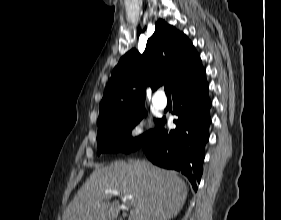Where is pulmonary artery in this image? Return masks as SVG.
<instances>
[{
    "mask_svg": "<svg viewBox=\"0 0 281 220\" xmlns=\"http://www.w3.org/2000/svg\"><path fill=\"white\" fill-rule=\"evenodd\" d=\"M153 104L159 108L164 109L167 106V99L162 90H158L153 97Z\"/></svg>",
    "mask_w": 281,
    "mask_h": 220,
    "instance_id": "1",
    "label": "pulmonary artery"
}]
</instances>
